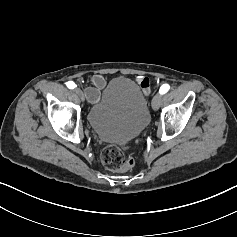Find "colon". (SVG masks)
I'll return each instance as SVG.
<instances>
[{"label": "colon", "mask_w": 237, "mask_h": 237, "mask_svg": "<svg viewBox=\"0 0 237 237\" xmlns=\"http://www.w3.org/2000/svg\"><path fill=\"white\" fill-rule=\"evenodd\" d=\"M101 161L111 171H125L134 165V158L131 155H125L116 146L105 147L101 152Z\"/></svg>", "instance_id": "obj_1"}]
</instances>
